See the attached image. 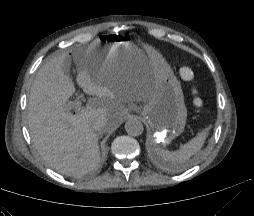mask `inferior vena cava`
Masks as SVG:
<instances>
[{"label": "inferior vena cava", "mask_w": 254, "mask_h": 216, "mask_svg": "<svg viewBox=\"0 0 254 216\" xmlns=\"http://www.w3.org/2000/svg\"><path fill=\"white\" fill-rule=\"evenodd\" d=\"M104 125H105V121L100 120V121H97V122L94 124L93 128H94V130H96L97 132H104V131H105L104 128H103Z\"/></svg>", "instance_id": "obj_1"}]
</instances>
